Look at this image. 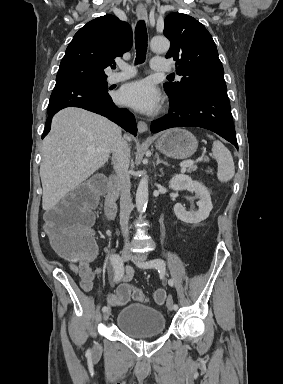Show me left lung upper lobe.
<instances>
[{
    "label": "left lung upper lobe",
    "mask_w": 283,
    "mask_h": 384,
    "mask_svg": "<svg viewBox=\"0 0 283 384\" xmlns=\"http://www.w3.org/2000/svg\"><path fill=\"white\" fill-rule=\"evenodd\" d=\"M164 35L171 46L166 58L176 61L180 82L164 84L171 98H183L191 92H227L224 69L211 34L195 18L171 13L164 21Z\"/></svg>",
    "instance_id": "left-lung-upper-lobe-1"
}]
</instances>
